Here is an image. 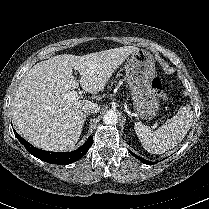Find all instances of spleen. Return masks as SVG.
<instances>
[{
  "instance_id": "3e777b00",
  "label": "spleen",
  "mask_w": 209,
  "mask_h": 209,
  "mask_svg": "<svg viewBox=\"0 0 209 209\" xmlns=\"http://www.w3.org/2000/svg\"><path fill=\"white\" fill-rule=\"evenodd\" d=\"M192 122L193 111L189 105H186L155 131H151L141 122H136L134 129L145 150L152 154H162L183 140Z\"/></svg>"
}]
</instances>
